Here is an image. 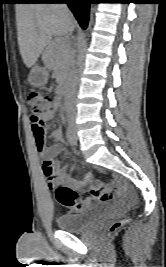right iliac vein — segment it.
Wrapping results in <instances>:
<instances>
[{"instance_id": "63e3f726", "label": "right iliac vein", "mask_w": 166, "mask_h": 267, "mask_svg": "<svg viewBox=\"0 0 166 267\" xmlns=\"http://www.w3.org/2000/svg\"><path fill=\"white\" fill-rule=\"evenodd\" d=\"M70 128H71L72 133L74 134L75 133L74 127L73 126H70Z\"/></svg>"}]
</instances>
